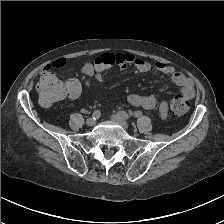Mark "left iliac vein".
<instances>
[{
    "label": "left iliac vein",
    "instance_id": "left-iliac-vein-1",
    "mask_svg": "<svg viewBox=\"0 0 224 224\" xmlns=\"http://www.w3.org/2000/svg\"><path fill=\"white\" fill-rule=\"evenodd\" d=\"M111 119L114 122L118 123L120 126H122L124 129H127L129 127L128 122L125 119H123L122 117H120L119 115H112Z\"/></svg>",
    "mask_w": 224,
    "mask_h": 224
}]
</instances>
